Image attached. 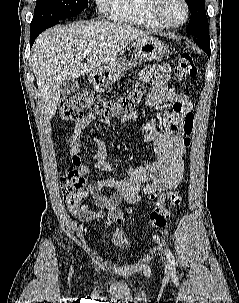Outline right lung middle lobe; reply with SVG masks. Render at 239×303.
Instances as JSON below:
<instances>
[{
  "label": "right lung middle lobe",
  "mask_w": 239,
  "mask_h": 303,
  "mask_svg": "<svg viewBox=\"0 0 239 303\" xmlns=\"http://www.w3.org/2000/svg\"><path fill=\"white\" fill-rule=\"evenodd\" d=\"M87 7L88 0H37L30 28H49L57 21L78 15Z\"/></svg>",
  "instance_id": "obj_1"
}]
</instances>
